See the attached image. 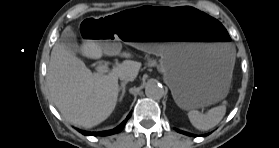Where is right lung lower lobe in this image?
Instances as JSON below:
<instances>
[{
	"label": "right lung lower lobe",
	"instance_id": "1",
	"mask_svg": "<svg viewBox=\"0 0 279 148\" xmlns=\"http://www.w3.org/2000/svg\"><path fill=\"white\" fill-rule=\"evenodd\" d=\"M130 115L131 114H129L127 118L117 128H114L112 130L102 131V132H85V131H80V132L84 135H92V136H106V135H112L118 133L124 128L127 120L130 118Z\"/></svg>",
	"mask_w": 279,
	"mask_h": 148
}]
</instances>
